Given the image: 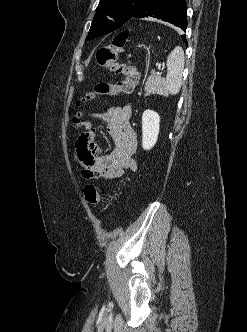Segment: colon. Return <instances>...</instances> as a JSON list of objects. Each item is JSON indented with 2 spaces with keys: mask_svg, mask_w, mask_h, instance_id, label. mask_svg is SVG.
<instances>
[{
  "mask_svg": "<svg viewBox=\"0 0 247 332\" xmlns=\"http://www.w3.org/2000/svg\"><path fill=\"white\" fill-rule=\"evenodd\" d=\"M127 36V31L117 34L111 44L99 47L96 52L97 64L120 78L114 82L98 83L82 98V101L91 100L96 96H115L133 91L139 81V73L133 65L118 60V53L124 47ZM84 194L90 204H97L103 198L100 191L93 185L85 186Z\"/></svg>",
  "mask_w": 247,
  "mask_h": 332,
  "instance_id": "colon-1",
  "label": "colon"
}]
</instances>
